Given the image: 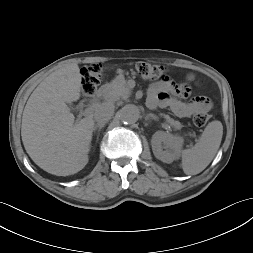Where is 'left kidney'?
<instances>
[{"mask_svg":"<svg viewBox=\"0 0 253 253\" xmlns=\"http://www.w3.org/2000/svg\"><path fill=\"white\" fill-rule=\"evenodd\" d=\"M183 138L157 131L152 136V150L155 157L164 163H172L179 157Z\"/></svg>","mask_w":253,"mask_h":253,"instance_id":"left-kidney-1","label":"left kidney"}]
</instances>
